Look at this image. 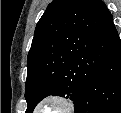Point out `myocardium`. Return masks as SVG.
<instances>
[{
    "mask_svg": "<svg viewBox=\"0 0 121 113\" xmlns=\"http://www.w3.org/2000/svg\"><path fill=\"white\" fill-rule=\"evenodd\" d=\"M48 102H55L61 104L64 107V110L61 113H69L73 110V103L69 98L63 95L50 94L42 97L36 103V106L34 107V113H39L40 108Z\"/></svg>",
    "mask_w": 121,
    "mask_h": 113,
    "instance_id": "1",
    "label": "myocardium"
}]
</instances>
